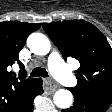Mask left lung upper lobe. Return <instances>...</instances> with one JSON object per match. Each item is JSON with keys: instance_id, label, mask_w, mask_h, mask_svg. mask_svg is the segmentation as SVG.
I'll return each mask as SVG.
<instances>
[{"instance_id": "5c2ea615", "label": "left lung upper lobe", "mask_w": 112, "mask_h": 112, "mask_svg": "<svg viewBox=\"0 0 112 112\" xmlns=\"http://www.w3.org/2000/svg\"><path fill=\"white\" fill-rule=\"evenodd\" d=\"M43 28L65 60L80 62L78 84L68 88L73 95L112 101V48L105 36L84 20L43 23Z\"/></svg>"}]
</instances>
